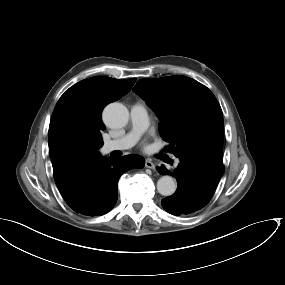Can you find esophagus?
<instances>
[{
    "label": "esophagus",
    "instance_id": "34e87169",
    "mask_svg": "<svg viewBox=\"0 0 285 285\" xmlns=\"http://www.w3.org/2000/svg\"><path fill=\"white\" fill-rule=\"evenodd\" d=\"M145 166L149 169H155L156 167V165L150 159H146Z\"/></svg>",
    "mask_w": 285,
    "mask_h": 285
}]
</instances>
